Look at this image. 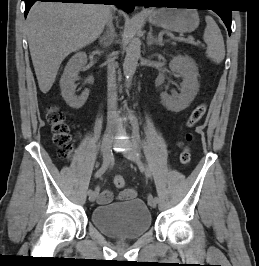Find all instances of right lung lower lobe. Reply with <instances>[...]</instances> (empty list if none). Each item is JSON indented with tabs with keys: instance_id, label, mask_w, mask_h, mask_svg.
Wrapping results in <instances>:
<instances>
[{
	"instance_id": "obj_1",
	"label": "right lung lower lobe",
	"mask_w": 259,
	"mask_h": 266,
	"mask_svg": "<svg viewBox=\"0 0 259 266\" xmlns=\"http://www.w3.org/2000/svg\"><path fill=\"white\" fill-rule=\"evenodd\" d=\"M25 1V16H27L31 6L36 1L42 2H62V3H84V4H104V5H116L118 8L125 10L126 12L133 11L135 4L131 0H23Z\"/></svg>"
}]
</instances>
